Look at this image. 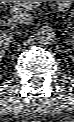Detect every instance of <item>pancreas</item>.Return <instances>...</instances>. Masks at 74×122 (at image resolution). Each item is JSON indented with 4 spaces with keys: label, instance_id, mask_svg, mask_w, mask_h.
Returning a JSON list of instances; mask_svg holds the SVG:
<instances>
[{
    "label": "pancreas",
    "instance_id": "obj_1",
    "mask_svg": "<svg viewBox=\"0 0 74 122\" xmlns=\"http://www.w3.org/2000/svg\"><path fill=\"white\" fill-rule=\"evenodd\" d=\"M12 7L32 10L39 5V1H9Z\"/></svg>",
    "mask_w": 74,
    "mask_h": 122
}]
</instances>
